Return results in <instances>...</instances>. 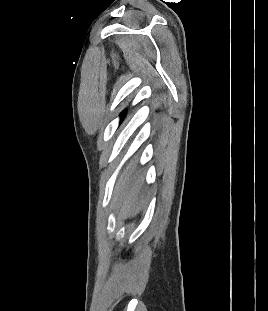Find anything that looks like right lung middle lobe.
Segmentation results:
<instances>
[{
  "label": "right lung middle lobe",
  "mask_w": 268,
  "mask_h": 311,
  "mask_svg": "<svg viewBox=\"0 0 268 311\" xmlns=\"http://www.w3.org/2000/svg\"><path fill=\"white\" fill-rule=\"evenodd\" d=\"M120 116H121V118H122V117L124 116V113H122Z\"/></svg>",
  "instance_id": "1"
}]
</instances>
